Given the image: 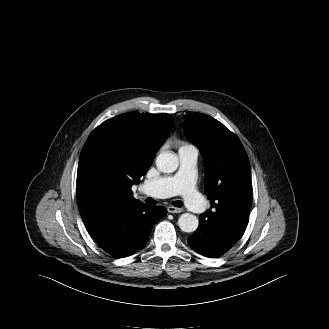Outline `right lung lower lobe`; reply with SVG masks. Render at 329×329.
Segmentation results:
<instances>
[{"label":"right lung lower lobe","instance_id":"obj_1","mask_svg":"<svg viewBox=\"0 0 329 329\" xmlns=\"http://www.w3.org/2000/svg\"><path fill=\"white\" fill-rule=\"evenodd\" d=\"M167 213L163 206L135 203L99 210L86 218L96 242L110 255L119 258L142 249L153 225Z\"/></svg>","mask_w":329,"mask_h":329}]
</instances>
